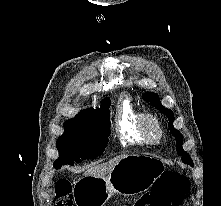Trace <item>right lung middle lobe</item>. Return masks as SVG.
Here are the masks:
<instances>
[{
	"instance_id": "right-lung-middle-lobe-1",
	"label": "right lung middle lobe",
	"mask_w": 221,
	"mask_h": 206,
	"mask_svg": "<svg viewBox=\"0 0 221 206\" xmlns=\"http://www.w3.org/2000/svg\"><path fill=\"white\" fill-rule=\"evenodd\" d=\"M110 134V113L95 112L75 116L64 123V133L57 140L59 158L54 162L56 169L62 165H73L84 159L101 155Z\"/></svg>"
}]
</instances>
